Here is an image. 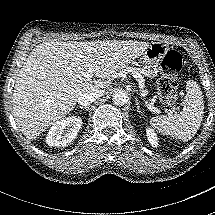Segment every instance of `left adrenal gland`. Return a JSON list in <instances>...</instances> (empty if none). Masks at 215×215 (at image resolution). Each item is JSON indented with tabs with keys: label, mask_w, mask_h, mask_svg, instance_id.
Masks as SVG:
<instances>
[{
	"label": "left adrenal gland",
	"mask_w": 215,
	"mask_h": 215,
	"mask_svg": "<svg viewBox=\"0 0 215 215\" xmlns=\"http://www.w3.org/2000/svg\"><path fill=\"white\" fill-rule=\"evenodd\" d=\"M135 103H136L137 111H138L139 113H141V111H140V106H139V101H138V98H137V97H135Z\"/></svg>",
	"instance_id": "1"
}]
</instances>
